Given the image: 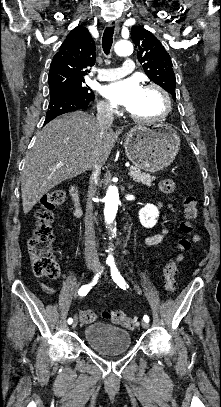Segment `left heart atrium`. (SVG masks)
<instances>
[{
	"instance_id": "left-heart-atrium-1",
	"label": "left heart atrium",
	"mask_w": 221,
	"mask_h": 407,
	"mask_svg": "<svg viewBox=\"0 0 221 407\" xmlns=\"http://www.w3.org/2000/svg\"><path fill=\"white\" fill-rule=\"evenodd\" d=\"M142 88L135 77L109 84L103 89L104 95L113 103L131 109L138 99Z\"/></svg>"
}]
</instances>
